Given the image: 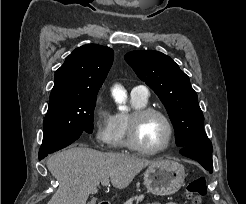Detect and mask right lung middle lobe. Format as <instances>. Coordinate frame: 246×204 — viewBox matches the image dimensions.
<instances>
[{
  "label": "right lung middle lobe",
  "instance_id": "right-lung-middle-lobe-1",
  "mask_svg": "<svg viewBox=\"0 0 246 204\" xmlns=\"http://www.w3.org/2000/svg\"><path fill=\"white\" fill-rule=\"evenodd\" d=\"M95 105L96 94L50 101L39 158L70 145L83 131L92 133Z\"/></svg>",
  "mask_w": 246,
  "mask_h": 204
}]
</instances>
